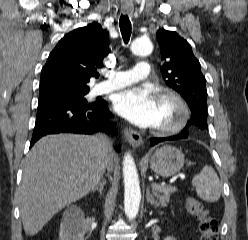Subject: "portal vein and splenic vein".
Instances as JSON below:
<instances>
[{
    "instance_id": "1",
    "label": "portal vein and splenic vein",
    "mask_w": 248,
    "mask_h": 240,
    "mask_svg": "<svg viewBox=\"0 0 248 240\" xmlns=\"http://www.w3.org/2000/svg\"><path fill=\"white\" fill-rule=\"evenodd\" d=\"M151 187H152L153 189H159L160 187H163V186H161V185H159V184H157V183H152V184H151ZM168 187L171 188V189H173L174 191L176 190L175 187H171V186H168Z\"/></svg>"
}]
</instances>
